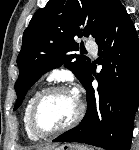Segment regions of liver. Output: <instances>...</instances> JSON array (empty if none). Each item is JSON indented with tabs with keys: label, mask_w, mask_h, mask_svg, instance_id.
<instances>
[{
	"label": "liver",
	"mask_w": 139,
	"mask_h": 150,
	"mask_svg": "<svg viewBox=\"0 0 139 150\" xmlns=\"http://www.w3.org/2000/svg\"><path fill=\"white\" fill-rule=\"evenodd\" d=\"M51 148H54L53 146H50V147H44V149H51ZM39 149H42V147H40Z\"/></svg>",
	"instance_id": "obj_1"
}]
</instances>
